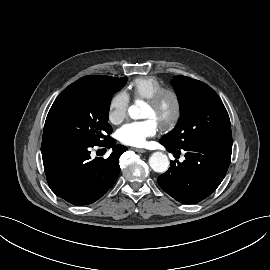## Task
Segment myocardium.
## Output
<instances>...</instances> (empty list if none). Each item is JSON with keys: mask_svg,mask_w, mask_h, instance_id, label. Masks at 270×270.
<instances>
[{"mask_svg": "<svg viewBox=\"0 0 270 270\" xmlns=\"http://www.w3.org/2000/svg\"><path fill=\"white\" fill-rule=\"evenodd\" d=\"M167 96L171 97L173 100V113L168 119L160 122L161 128L166 130L174 128L181 119L182 100L179 93L173 88L163 87L147 98V102L150 105L158 107Z\"/></svg>", "mask_w": 270, "mask_h": 270, "instance_id": "1", "label": "myocardium"}]
</instances>
